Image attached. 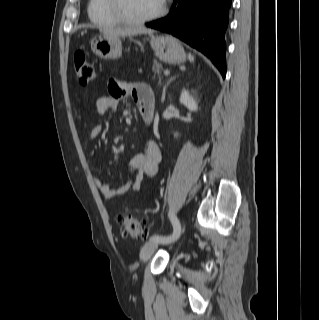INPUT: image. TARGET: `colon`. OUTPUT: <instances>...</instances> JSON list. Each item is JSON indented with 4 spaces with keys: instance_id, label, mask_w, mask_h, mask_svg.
<instances>
[{
    "instance_id": "1",
    "label": "colon",
    "mask_w": 319,
    "mask_h": 320,
    "mask_svg": "<svg viewBox=\"0 0 319 320\" xmlns=\"http://www.w3.org/2000/svg\"><path fill=\"white\" fill-rule=\"evenodd\" d=\"M74 66L76 77L80 84L87 85L94 80L96 75L95 68L84 52L78 51L75 53ZM117 222L124 237H146L149 235V229L145 222L131 214L118 215Z\"/></svg>"
}]
</instances>
